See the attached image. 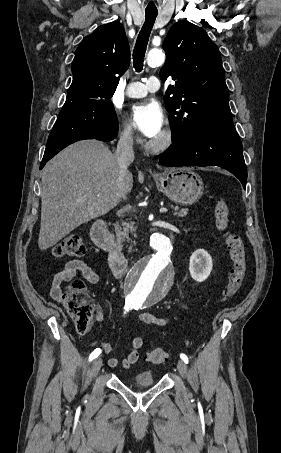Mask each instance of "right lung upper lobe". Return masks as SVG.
Segmentation results:
<instances>
[{
  "mask_svg": "<svg viewBox=\"0 0 281 453\" xmlns=\"http://www.w3.org/2000/svg\"><path fill=\"white\" fill-rule=\"evenodd\" d=\"M130 65V48L123 25L111 22L98 27L79 44L72 63L73 81L65 103L106 102L119 77Z\"/></svg>",
  "mask_w": 281,
  "mask_h": 453,
  "instance_id": "right-lung-upper-lobe-1",
  "label": "right lung upper lobe"
}]
</instances>
